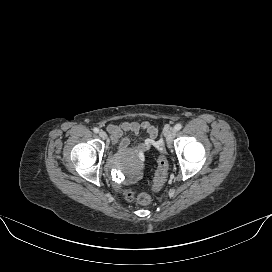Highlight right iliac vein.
<instances>
[{
  "instance_id": "right-iliac-vein-1",
  "label": "right iliac vein",
  "mask_w": 272,
  "mask_h": 272,
  "mask_svg": "<svg viewBox=\"0 0 272 272\" xmlns=\"http://www.w3.org/2000/svg\"><path fill=\"white\" fill-rule=\"evenodd\" d=\"M99 136H100L102 139H106V138H107V134H106V132H104V131H100V132H99Z\"/></svg>"
}]
</instances>
